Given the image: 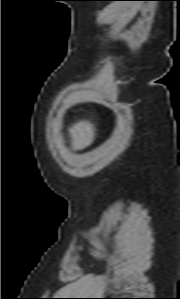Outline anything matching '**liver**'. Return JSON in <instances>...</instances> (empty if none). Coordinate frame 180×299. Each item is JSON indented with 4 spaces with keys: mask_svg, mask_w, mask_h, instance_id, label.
Instances as JSON below:
<instances>
[{
    "mask_svg": "<svg viewBox=\"0 0 180 299\" xmlns=\"http://www.w3.org/2000/svg\"><path fill=\"white\" fill-rule=\"evenodd\" d=\"M68 131L74 150L88 147L95 138V128L90 121H79L72 125Z\"/></svg>",
    "mask_w": 180,
    "mask_h": 299,
    "instance_id": "liver-1",
    "label": "liver"
}]
</instances>
